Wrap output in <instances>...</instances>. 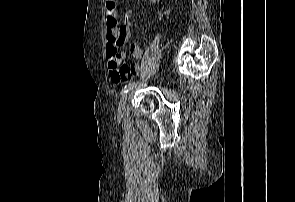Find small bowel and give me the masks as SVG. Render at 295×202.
Instances as JSON below:
<instances>
[{"instance_id": "1", "label": "small bowel", "mask_w": 295, "mask_h": 202, "mask_svg": "<svg viewBox=\"0 0 295 202\" xmlns=\"http://www.w3.org/2000/svg\"><path fill=\"white\" fill-rule=\"evenodd\" d=\"M149 1L152 2L153 4L160 3V0H149ZM106 14H107L108 20L112 18H116L118 20L120 19V14L116 10L111 11L109 9H106ZM129 16L130 14H128V17ZM128 17L125 18L123 23L115 29L117 36L120 38L119 46L110 47L107 40L106 57L109 62L108 68H109L111 79L115 83H119L125 77L130 78L132 75L140 71L139 67H134L131 71L130 63H127L126 59H122L125 57V52L123 50L119 51V49H124L129 43L130 23H129ZM130 53L134 58L144 57L143 50L137 45H132L130 47Z\"/></svg>"}]
</instances>
